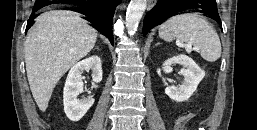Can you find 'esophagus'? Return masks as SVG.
Returning <instances> with one entry per match:
<instances>
[{
    "label": "esophagus",
    "instance_id": "esophagus-1",
    "mask_svg": "<svg viewBox=\"0 0 257 130\" xmlns=\"http://www.w3.org/2000/svg\"><path fill=\"white\" fill-rule=\"evenodd\" d=\"M156 0H148V6L147 9L150 10L154 7Z\"/></svg>",
    "mask_w": 257,
    "mask_h": 130
}]
</instances>
